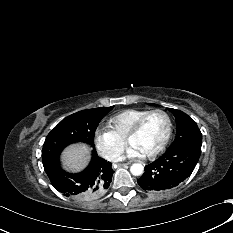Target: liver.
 <instances>
[{
    "mask_svg": "<svg viewBox=\"0 0 233 233\" xmlns=\"http://www.w3.org/2000/svg\"><path fill=\"white\" fill-rule=\"evenodd\" d=\"M90 149L84 144H76L68 147L62 160L66 169L70 171H79L85 167L90 159Z\"/></svg>",
    "mask_w": 233,
    "mask_h": 233,
    "instance_id": "obj_1",
    "label": "liver"
}]
</instances>
